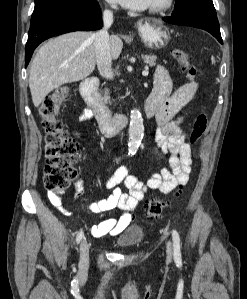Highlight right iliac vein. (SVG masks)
I'll return each instance as SVG.
<instances>
[{"instance_id":"obj_1","label":"right iliac vein","mask_w":247,"mask_h":299,"mask_svg":"<svg viewBox=\"0 0 247 299\" xmlns=\"http://www.w3.org/2000/svg\"><path fill=\"white\" fill-rule=\"evenodd\" d=\"M80 251V266L81 270L84 271L89 262V243L83 239L79 247Z\"/></svg>"}]
</instances>
